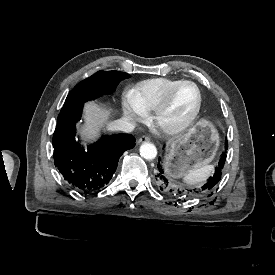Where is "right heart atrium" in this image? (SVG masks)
Here are the masks:
<instances>
[{"label":"right heart atrium","mask_w":275,"mask_h":275,"mask_svg":"<svg viewBox=\"0 0 275 275\" xmlns=\"http://www.w3.org/2000/svg\"><path fill=\"white\" fill-rule=\"evenodd\" d=\"M123 111L126 119L132 125L143 122L147 113L134 102L132 94H127L123 99Z\"/></svg>","instance_id":"right-heart-atrium-1"}]
</instances>
